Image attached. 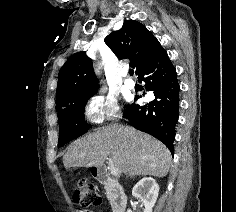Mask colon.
<instances>
[{"mask_svg": "<svg viewBox=\"0 0 236 212\" xmlns=\"http://www.w3.org/2000/svg\"><path fill=\"white\" fill-rule=\"evenodd\" d=\"M73 199L75 203L83 208L98 206L101 198L97 193L95 186L86 179H81L77 183V187L73 192Z\"/></svg>", "mask_w": 236, "mask_h": 212, "instance_id": "5ec220e1", "label": "colon"}]
</instances>
